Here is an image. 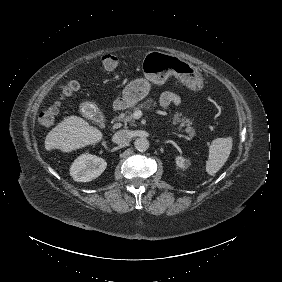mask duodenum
<instances>
[{"label":"duodenum","instance_id":"1","mask_svg":"<svg viewBox=\"0 0 282 282\" xmlns=\"http://www.w3.org/2000/svg\"><path fill=\"white\" fill-rule=\"evenodd\" d=\"M122 108H124V103L122 101H116L114 102L113 104V111L116 112V111H119L121 110Z\"/></svg>","mask_w":282,"mask_h":282}]
</instances>
